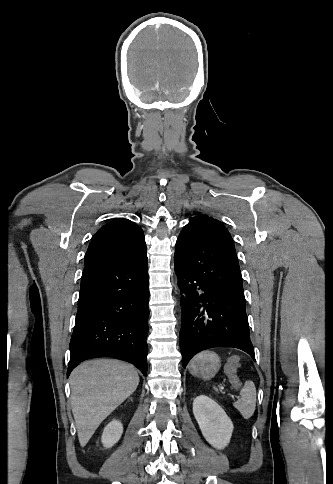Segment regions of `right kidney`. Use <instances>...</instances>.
<instances>
[{
    "label": "right kidney",
    "mask_w": 333,
    "mask_h": 484,
    "mask_svg": "<svg viewBox=\"0 0 333 484\" xmlns=\"http://www.w3.org/2000/svg\"><path fill=\"white\" fill-rule=\"evenodd\" d=\"M123 425L120 421L113 420L105 428L102 434V443L104 447H112L121 437Z\"/></svg>",
    "instance_id": "right-kidney-1"
}]
</instances>
